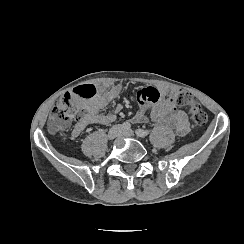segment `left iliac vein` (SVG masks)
I'll list each match as a JSON object with an SVG mask.
<instances>
[{
    "label": "left iliac vein",
    "mask_w": 244,
    "mask_h": 244,
    "mask_svg": "<svg viewBox=\"0 0 244 244\" xmlns=\"http://www.w3.org/2000/svg\"><path fill=\"white\" fill-rule=\"evenodd\" d=\"M135 132L132 129H122L120 135L124 136V137H132L134 136Z\"/></svg>",
    "instance_id": "left-iliac-vein-1"
}]
</instances>
